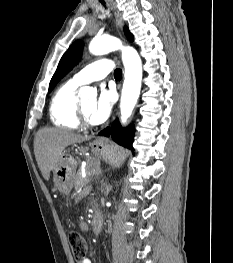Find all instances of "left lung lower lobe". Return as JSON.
I'll return each mask as SVG.
<instances>
[{"label":"left lung lower lobe","instance_id":"0a47b994","mask_svg":"<svg viewBox=\"0 0 233 263\" xmlns=\"http://www.w3.org/2000/svg\"><path fill=\"white\" fill-rule=\"evenodd\" d=\"M99 135L111 136L112 139L119 145L129 149H133L132 143L134 137V129L132 126H129L126 129H122L118 119L114 122L111 129L108 127L101 131Z\"/></svg>","mask_w":233,"mask_h":263}]
</instances>
